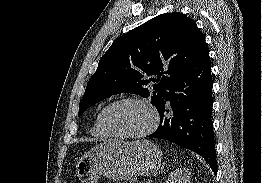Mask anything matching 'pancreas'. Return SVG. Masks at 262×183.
<instances>
[{"label": "pancreas", "mask_w": 262, "mask_h": 183, "mask_svg": "<svg viewBox=\"0 0 262 183\" xmlns=\"http://www.w3.org/2000/svg\"><path fill=\"white\" fill-rule=\"evenodd\" d=\"M133 180H134V179H133L132 177H130V178H128V179H127V181H126V182H124V183H128V181H129L130 183H132V182H133ZM146 183H147V182H146Z\"/></svg>", "instance_id": "pancreas-1"}]
</instances>
